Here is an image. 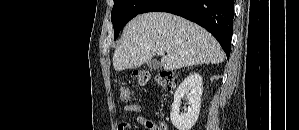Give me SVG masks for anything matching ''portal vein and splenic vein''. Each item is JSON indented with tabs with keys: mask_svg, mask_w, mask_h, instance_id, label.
Segmentation results:
<instances>
[{
	"mask_svg": "<svg viewBox=\"0 0 299 130\" xmlns=\"http://www.w3.org/2000/svg\"><path fill=\"white\" fill-rule=\"evenodd\" d=\"M157 53H158L159 55H163V54H164V50L159 49V50L157 51Z\"/></svg>",
	"mask_w": 299,
	"mask_h": 130,
	"instance_id": "obj_1",
	"label": "portal vein and splenic vein"
}]
</instances>
